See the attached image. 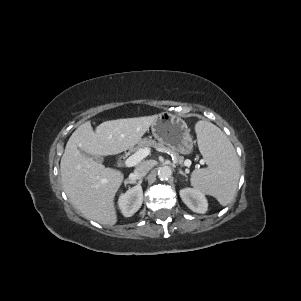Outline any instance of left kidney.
Here are the masks:
<instances>
[{
  "mask_svg": "<svg viewBox=\"0 0 301 301\" xmlns=\"http://www.w3.org/2000/svg\"><path fill=\"white\" fill-rule=\"evenodd\" d=\"M180 197L193 212L203 214L207 211L208 202L205 195L200 190L195 188H184L180 190Z\"/></svg>",
  "mask_w": 301,
  "mask_h": 301,
  "instance_id": "left-kidney-1",
  "label": "left kidney"
}]
</instances>
